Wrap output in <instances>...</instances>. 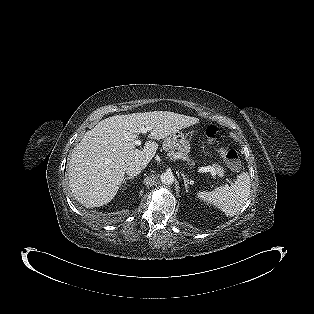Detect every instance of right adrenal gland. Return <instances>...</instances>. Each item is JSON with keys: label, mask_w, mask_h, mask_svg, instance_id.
<instances>
[{"label": "right adrenal gland", "mask_w": 314, "mask_h": 314, "mask_svg": "<svg viewBox=\"0 0 314 314\" xmlns=\"http://www.w3.org/2000/svg\"><path fill=\"white\" fill-rule=\"evenodd\" d=\"M132 179H133V177H126V178H124L122 184H126L127 180H132Z\"/></svg>", "instance_id": "1"}]
</instances>
